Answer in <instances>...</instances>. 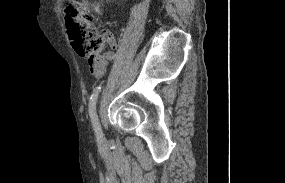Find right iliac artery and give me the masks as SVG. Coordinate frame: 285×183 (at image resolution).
I'll return each mask as SVG.
<instances>
[{"instance_id":"1","label":"right iliac artery","mask_w":285,"mask_h":183,"mask_svg":"<svg viewBox=\"0 0 285 183\" xmlns=\"http://www.w3.org/2000/svg\"><path fill=\"white\" fill-rule=\"evenodd\" d=\"M101 87H98L95 92L92 94L90 98V103H89V114L91 118V122L93 125V129L95 131V135L97 138V141L101 142L103 140V134H102V129L98 120V116L96 113V101L98 98V94L100 92Z\"/></svg>"}]
</instances>
